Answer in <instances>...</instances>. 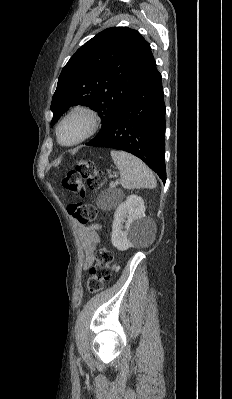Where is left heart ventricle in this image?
I'll list each match as a JSON object with an SVG mask.
<instances>
[{"mask_svg":"<svg viewBox=\"0 0 232 399\" xmlns=\"http://www.w3.org/2000/svg\"><path fill=\"white\" fill-rule=\"evenodd\" d=\"M89 118L84 113H76L67 119L61 127V139L72 143L82 137L89 129Z\"/></svg>","mask_w":232,"mask_h":399,"instance_id":"1","label":"left heart ventricle"}]
</instances>
